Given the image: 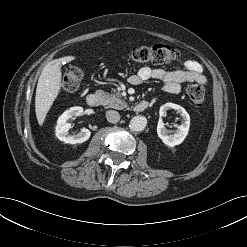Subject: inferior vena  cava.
Returning a JSON list of instances; mask_svg holds the SVG:
<instances>
[{
    "instance_id": "inferior-vena-cava-1",
    "label": "inferior vena cava",
    "mask_w": 247,
    "mask_h": 247,
    "mask_svg": "<svg viewBox=\"0 0 247 247\" xmlns=\"http://www.w3.org/2000/svg\"><path fill=\"white\" fill-rule=\"evenodd\" d=\"M106 118L110 123H117L120 120V114L114 110H108L106 112Z\"/></svg>"
}]
</instances>
